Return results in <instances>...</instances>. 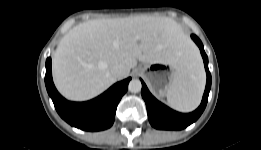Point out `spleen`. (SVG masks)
<instances>
[{
    "mask_svg": "<svg viewBox=\"0 0 261 150\" xmlns=\"http://www.w3.org/2000/svg\"><path fill=\"white\" fill-rule=\"evenodd\" d=\"M205 87V73L197 50L190 55L187 66L178 71L175 81L166 91L169 105L180 112L195 110Z\"/></svg>",
    "mask_w": 261,
    "mask_h": 150,
    "instance_id": "obj_1",
    "label": "spleen"
}]
</instances>
